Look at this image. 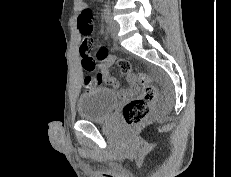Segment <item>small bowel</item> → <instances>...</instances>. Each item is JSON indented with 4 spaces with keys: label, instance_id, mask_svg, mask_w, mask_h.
Returning a JSON list of instances; mask_svg holds the SVG:
<instances>
[{
    "label": "small bowel",
    "instance_id": "c3829d8e",
    "mask_svg": "<svg viewBox=\"0 0 231 177\" xmlns=\"http://www.w3.org/2000/svg\"><path fill=\"white\" fill-rule=\"evenodd\" d=\"M88 6L84 3L81 2V12L85 9H87ZM111 66L110 62L104 61L100 64L99 68L100 71L97 74V81L98 84H108L113 88H119L120 87V82L117 78H115L114 76H112L109 72V67ZM127 82L130 84V86L132 87V90H134L136 88V80L134 78V76L132 75H127Z\"/></svg>",
    "mask_w": 231,
    "mask_h": 177
}]
</instances>
